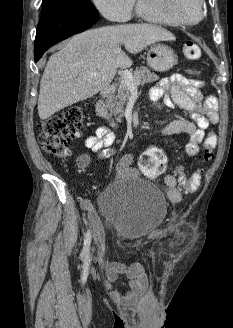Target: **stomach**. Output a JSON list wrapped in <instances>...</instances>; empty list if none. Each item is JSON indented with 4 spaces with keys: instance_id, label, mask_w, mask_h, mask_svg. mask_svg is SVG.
<instances>
[{
    "instance_id": "stomach-1",
    "label": "stomach",
    "mask_w": 233,
    "mask_h": 328,
    "mask_svg": "<svg viewBox=\"0 0 233 328\" xmlns=\"http://www.w3.org/2000/svg\"><path fill=\"white\" fill-rule=\"evenodd\" d=\"M147 63L155 71L165 72L176 65L177 57L169 46L156 43L147 50Z\"/></svg>"
}]
</instances>
